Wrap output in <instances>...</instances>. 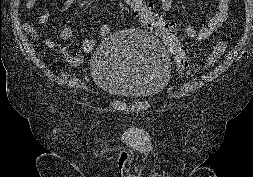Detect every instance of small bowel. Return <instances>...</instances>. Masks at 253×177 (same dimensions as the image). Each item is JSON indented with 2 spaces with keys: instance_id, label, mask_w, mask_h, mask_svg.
Instances as JSON below:
<instances>
[{
  "instance_id": "1",
  "label": "small bowel",
  "mask_w": 253,
  "mask_h": 177,
  "mask_svg": "<svg viewBox=\"0 0 253 177\" xmlns=\"http://www.w3.org/2000/svg\"><path fill=\"white\" fill-rule=\"evenodd\" d=\"M40 0H26V7L33 8ZM76 0H63L61 12L66 15ZM161 7L164 11L168 12L173 6L174 0H159ZM217 10L210 17L207 24L200 29H196L192 26L185 28V35L190 40L204 41L207 40L212 34L217 32L220 27L226 22L228 17V11L231 0H217ZM53 15L50 12H45L40 16V23L46 24L52 19ZM23 29L30 34L34 33V28L30 24H24ZM111 26L108 24H101L98 29V33L101 37H106L111 33ZM74 32L70 27H63L60 31V38L63 41H67L73 38ZM96 42L94 39L87 38L82 42V49L89 53L95 48ZM55 48L62 54L65 60L73 65L78 66L83 62V56L72 53L67 47L60 43L54 44Z\"/></svg>"
}]
</instances>
